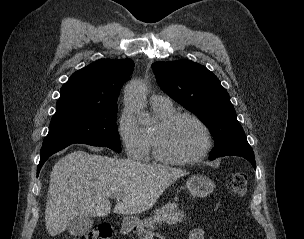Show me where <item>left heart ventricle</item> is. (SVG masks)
<instances>
[{
    "mask_svg": "<svg viewBox=\"0 0 304 239\" xmlns=\"http://www.w3.org/2000/svg\"><path fill=\"white\" fill-rule=\"evenodd\" d=\"M202 129L188 118L177 121L164 139L165 151L174 157H189L197 154L204 146Z\"/></svg>",
    "mask_w": 304,
    "mask_h": 239,
    "instance_id": "left-heart-ventricle-1",
    "label": "left heart ventricle"
}]
</instances>
